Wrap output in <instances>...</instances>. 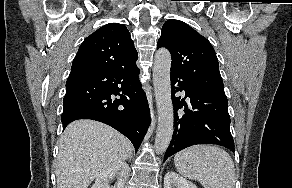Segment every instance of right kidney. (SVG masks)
<instances>
[{
	"label": "right kidney",
	"instance_id": "ca27d5eb",
	"mask_svg": "<svg viewBox=\"0 0 292 188\" xmlns=\"http://www.w3.org/2000/svg\"><path fill=\"white\" fill-rule=\"evenodd\" d=\"M129 172V165L125 162L114 165L110 169L101 173L95 180L91 188H108V182L117 177V182L113 188H124L125 180Z\"/></svg>",
	"mask_w": 292,
	"mask_h": 188
}]
</instances>
